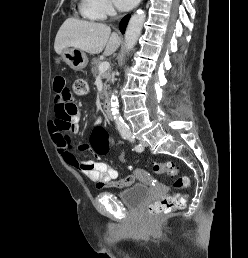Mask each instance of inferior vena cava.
<instances>
[{
	"mask_svg": "<svg viewBox=\"0 0 248 258\" xmlns=\"http://www.w3.org/2000/svg\"><path fill=\"white\" fill-rule=\"evenodd\" d=\"M111 15H116V12L113 8H111Z\"/></svg>",
	"mask_w": 248,
	"mask_h": 258,
	"instance_id": "inferior-vena-cava-1",
	"label": "inferior vena cava"
}]
</instances>
